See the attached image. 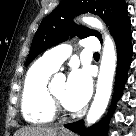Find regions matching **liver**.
<instances>
[{"label": "liver", "mask_w": 136, "mask_h": 136, "mask_svg": "<svg viewBox=\"0 0 136 136\" xmlns=\"http://www.w3.org/2000/svg\"><path fill=\"white\" fill-rule=\"evenodd\" d=\"M57 128L25 127L18 130L14 136H56Z\"/></svg>", "instance_id": "1"}]
</instances>
